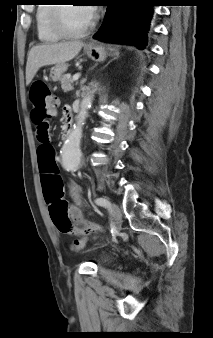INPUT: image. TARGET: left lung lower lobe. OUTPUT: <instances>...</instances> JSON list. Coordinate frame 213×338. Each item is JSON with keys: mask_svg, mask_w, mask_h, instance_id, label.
Returning <instances> with one entry per match:
<instances>
[{"mask_svg": "<svg viewBox=\"0 0 213 338\" xmlns=\"http://www.w3.org/2000/svg\"><path fill=\"white\" fill-rule=\"evenodd\" d=\"M155 0H111L100 29L93 38L144 49L153 17Z\"/></svg>", "mask_w": 213, "mask_h": 338, "instance_id": "left-lung-lower-lobe-1", "label": "left lung lower lobe"}]
</instances>
